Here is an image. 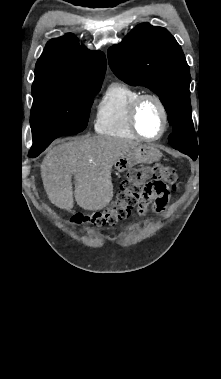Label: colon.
<instances>
[{"mask_svg": "<svg viewBox=\"0 0 221 379\" xmlns=\"http://www.w3.org/2000/svg\"><path fill=\"white\" fill-rule=\"evenodd\" d=\"M178 180L177 171L171 166L154 164L134 168L128 172L116 201L110 207L91 214H76L71 221L75 225L114 226L128 218L143 197L165 194L169 187L175 190Z\"/></svg>", "mask_w": 221, "mask_h": 379, "instance_id": "obj_1", "label": "colon"}]
</instances>
